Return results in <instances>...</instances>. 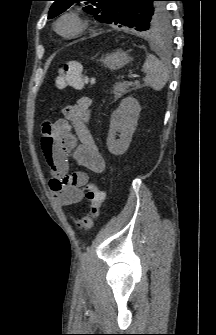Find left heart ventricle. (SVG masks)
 Returning <instances> with one entry per match:
<instances>
[{
	"mask_svg": "<svg viewBox=\"0 0 216 335\" xmlns=\"http://www.w3.org/2000/svg\"><path fill=\"white\" fill-rule=\"evenodd\" d=\"M72 28H73V24L71 22H69V21L63 22L60 25V29L63 32H69L70 30H72Z\"/></svg>",
	"mask_w": 216,
	"mask_h": 335,
	"instance_id": "left-heart-ventricle-1",
	"label": "left heart ventricle"
}]
</instances>
